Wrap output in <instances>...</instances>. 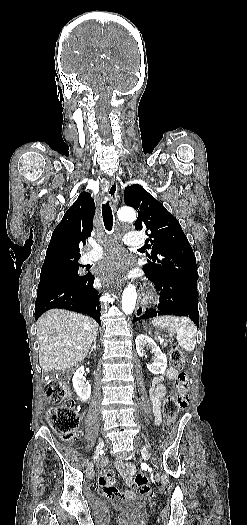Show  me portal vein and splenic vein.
Here are the masks:
<instances>
[{"mask_svg":"<svg viewBox=\"0 0 247 525\" xmlns=\"http://www.w3.org/2000/svg\"><path fill=\"white\" fill-rule=\"evenodd\" d=\"M159 343H164V338H160ZM78 349H81V345H78Z\"/></svg>","mask_w":247,"mask_h":525,"instance_id":"portal-vein-and-splenic-vein-1","label":"portal vein and splenic vein"}]
</instances>
